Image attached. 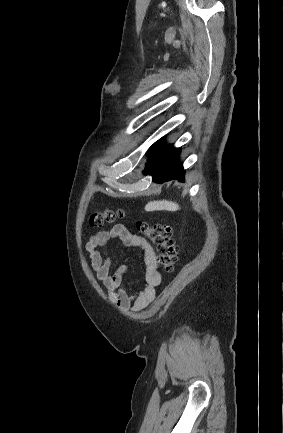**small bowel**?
<instances>
[{
  "mask_svg": "<svg viewBox=\"0 0 283 433\" xmlns=\"http://www.w3.org/2000/svg\"><path fill=\"white\" fill-rule=\"evenodd\" d=\"M112 239L119 240L126 247L139 249L143 255V287L134 295L129 294L123 285L127 268L120 266L116 272H111L112 260L105 248ZM86 250L89 252L94 274L101 281L112 305L124 312H138L155 298L161 274L156 253L148 241L130 233L124 225L116 224L108 230L93 234L86 244Z\"/></svg>",
  "mask_w": 283,
  "mask_h": 433,
  "instance_id": "c3829d8e",
  "label": "small bowel"
}]
</instances>
